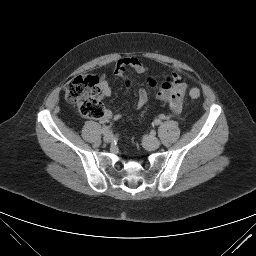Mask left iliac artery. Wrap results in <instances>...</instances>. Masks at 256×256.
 <instances>
[{
  "instance_id": "left-iliac-artery-1",
  "label": "left iliac artery",
  "mask_w": 256,
  "mask_h": 256,
  "mask_svg": "<svg viewBox=\"0 0 256 256\" xmlns=\"http://www.w3.org/2000/svg\"><path fill=\"white\" fill-rule=\"evenodd\" d=\"M154 124H155V125L161 124V120H159V119L154 120Z\"/></svg>"
}]
</instances>
